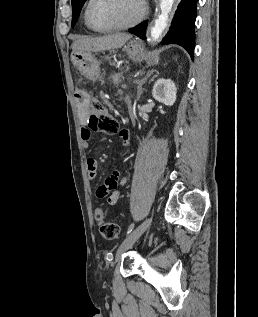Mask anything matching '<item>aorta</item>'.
<instances>
[{
  "label": "aorta",
  "mask_w": 258,
  "mask_h": 317,
  "mask_svg": "<svg viewBox=\"0 0 258 317\" xmlns=\"http://www.w3.org/2000/svg\"><path fill=\"white\" fill-rule=\"evenodd\" d=\"M173 2L174 0H160L159 13L155 19L154 26L150 29V42L158 41L163 30L167 27Z\"/></svg>",
  "instance_id": "obj_1"
}]
</instances>
